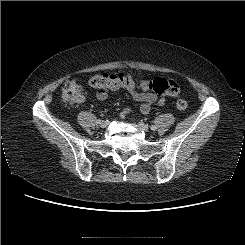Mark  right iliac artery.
Segmentation results:
<instances>
[{
	"label": "right iliac artery",
	"instance_id": "obj_1",
	"mask_svg": "<svg viewBox=\"0 0 245 245\" xmlns=\"http://www.w3.org/2000/svg\"><path fill=\"white\" fill-rule=\"evenodd\" d=\"M100 122H101V120H100V119L96 121V123H97V124H100Z\"/></svg>",
	"mask_w": 245,
	"mask_h": 245
}]
</instances>
